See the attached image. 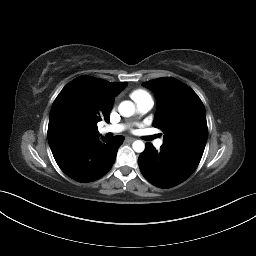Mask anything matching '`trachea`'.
<instances>
[{
  "instance_id": "trachea-1",
  "label": "trachea",
  "mask_w": 256,
  "mask_h": 256,
  "mask_svg": "<svg viewBox=\"0 0 256 256\" xmlns=\"http://www.w3.org/2000/svg\"><path fill=\"white\" fill-rule=\"evenodd\" d=\"M154 138H156V136H155V135H153V136H149V137H148V140H151V139H154Z\"/></svg>"
}]
</instances>
